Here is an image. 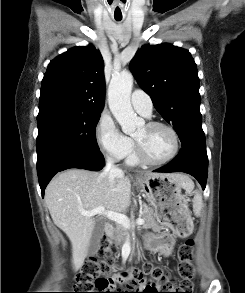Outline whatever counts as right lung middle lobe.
Here are the masks:
<instances>
[{
	"mask_svg": "<svg viewBox=\"0 0 245 293\" xmlns=\"http://www.w3.org/2000/svg\"><path fill=\"white\" fill-rule=\"evenodd\" d=\"M100 112L63 108L39 111L37 116V169L51 157L70 150L100 152L95 129Z\"/></svg>",
	"mask_w": 245,
	"mask_h": 293,
	"instance_id": "right-lung-middle-lobe-1",
	"label": "right lung middle lobe"
}]
</instances>
